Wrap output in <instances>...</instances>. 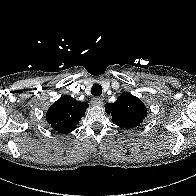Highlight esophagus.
Wrapping results in <instances>:
<instances>
[{
  "mask_svg": "<svg viewBox=\"0 0 196 196\" xmlns=\"http://www.w3.org/2000/svg\"><path fill=\"white\" fill-rule=\"evenodd\" d=\"M91 102L93 105L98 106L103 103V99L100 97H94Z\"/></svg>",
  "mask_w": 196,
  "mask_h": 196,
  "instance_id": "esophagus-1",
  "label": "esophagus"
}]
</instances>
